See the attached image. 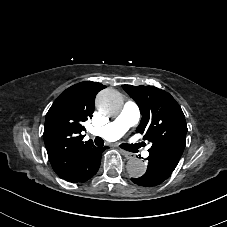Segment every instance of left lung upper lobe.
Masks as SVG:
<instances>
[{
    "label": "left lung upper lobe",
    "instance_id": "1",
    "mask_svg": "<svg viewBox=\"0 0 227 227\" xmlns=\"http://www.w3.org/2000/svg\"><path fill=\"white\" fill-rule=\"evenodd\" d=\"M139 106L142 119L136 129L151 142L149 156L177 166L186 144L184 113L166 91L152 86L122 85Z\"/></svg>",
    "mask_w": 227,
    "mask_h": 227
}]
</instances>
